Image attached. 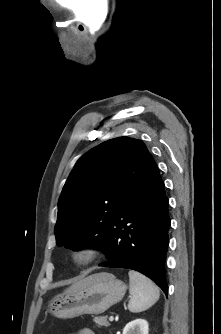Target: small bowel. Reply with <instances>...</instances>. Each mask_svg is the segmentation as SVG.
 I'll list each match as a JSON object with an SVG mask.
<instances>
[{"label": "small bowel", "instance_id": "obj_1", "mask_svg": "<svg viewBox=\"0 0 221 334\" xmlns=\"http://www.w3.org/2000/svg\"><path fill=\"white\" fill-rule=\"evenodd\" d=\"M72 334H95V333L90 328H82L76 333H72Z\"/></svg>", "mask_w": 221, "mask_h": 334}]
</instances>
